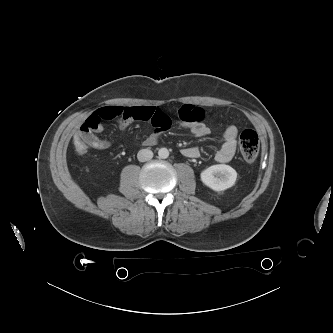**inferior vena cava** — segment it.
<instances>
[{
  "label": "inferior vena cava",
  "mask_w": 333,
  "mask_h": 333,
  "mask_svg": "<svg viewBox=\"0 0 333 333\" xmlns=\"http://www.w3.org/2000/svg\"><path fill=\"white\" fill-rule=\"evenodd\" d=\"M153 157V152L150 149H141L138 154L137 158L140 162H145Z\"/></svg>",
  "instance_id": "1"
}]
</instances>
